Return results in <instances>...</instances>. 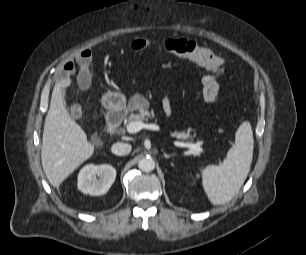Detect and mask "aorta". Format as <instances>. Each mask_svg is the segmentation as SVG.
<instances>
[{"label":"aorta","mask_w":306,"mask_h":255,"mask_svg":"<svg viewBox=\"0 0 306 255\" xmlns=\"http://www.w3.org/2000/svg\"><path fill=\"white\" fill-rule=\"evenodd\" d=\"M138 168L143 172H151L155 168V161L151 157H144L139 160Z\"/></svg>","instance_id":"1"}]
</instances>
